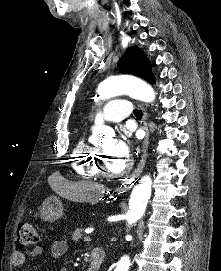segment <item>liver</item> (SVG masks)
<instances>
[{"label":"liver","instance_id":"6515ba94","mask_svg":"<svg viewBox=\"0 0 221 271\" xmlns=\"http://www.w3.org/2000/svg\"><path fill=\"white\" fill-rule=\"evenodd\" d=\"M54 187L57 181H52ZM102 183H94V181H76V183H64V193L59 189H55L56 193H60L62 197L71 199V201H91L96 203L98 201L96 191H103Z\"/></svg>","mask_w":221,"mask_h":271}]
</instances>
